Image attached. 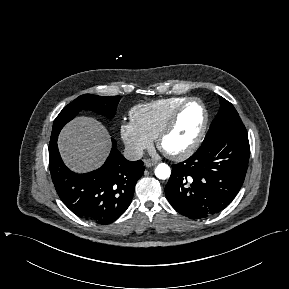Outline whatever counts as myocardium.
Masks as SVG:
<instances>
[{
    "instance_id": "myocardium-1",
    "label": "myocardium",
    "mask_w": 289,
    "mask_h": 289,
    "mask_svg": "<svg viewBox=\"0 0 289 289\" xmlns=\"http://www.w3.org/2000/svg\"><path fill=\"white\" fill-rule=\"evenodd\" d=\"M192 102H196L198 103L203 111L204 114V118H203V122L200 128V131L198 133V135L196 136V138L194 139V141L185 149L178 151V152H167L163 149V141L164 139L173 131V129L175 128L179 117L182 113V111L184 110V108L192 103ZM208 124H209V112L208 109L206 107V105L204 104V102L197 98V97H189L186 98L173 112V114L170 116V118L168 119V121L166 122V124L163 126V128L160 130L157 138H156V142H157V146L158 148L164 152L168 157H170L171 159L174 160H184L188 157H190L192 154H194L196 152V150L200 147L201 143L204 140V137L206 135L207 129H208Z\"/></svg>"
}]
</instances>
